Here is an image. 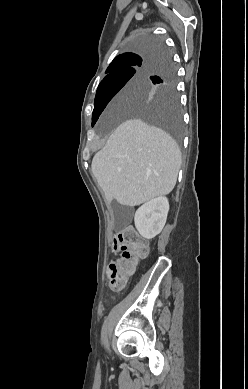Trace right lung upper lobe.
<instances>
[{
    "label": "right lung upper lobe",
    "mask_w": 248,
    "mask_h": 389,
    "mask_svg": "<svg viewBox=\"0 0 248 389\" xmlns=\"http://www.w3.org/2000/svg\"><path fill=\"white\" fill-rule=\"evenodd\" d=\"M161 48L151 49L146 54H142L141 56L134 53H125L117 56L109 67L106 70V73L113 72L115 70L125 68L134 64H140L143 67L148 65L156 66L157 61L161 57V54H157Z\"/></svg>",
    "instance_id": "obj_1"
}]
</instances>
